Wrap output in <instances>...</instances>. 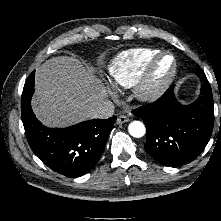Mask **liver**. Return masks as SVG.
<instances>
[{
	"label": "liver",
	"mask_w": 221,
	"mask_h": 221,
	"mask_svg": "<svg viewBox=\"0 0 221 221\" xmlns=\"http://www.w3.org/2000/svg\"><path fill=\"white\" fill-rule=\"evenodd\" d=\"M106 89L73 57H54L36 70L32 108L46 126L65 127L87 120L106 101Z\"/></svg>",
	"instance_id": "1"
}]
</instances>
